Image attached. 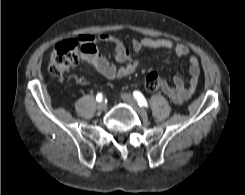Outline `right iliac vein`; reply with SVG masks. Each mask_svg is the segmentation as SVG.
<instances>
[{"label":"right iliac vein","instance_id":"obj_1","mask_svg":"<svg viewBox=\"0 0 245 195\" xmlns=\"http://www.w3.org/2000/svg\"><path fill=\"white\" fill-rule=\"evenodd\" d=\"M99 111H106L107 110V104L105 102H101L97 106Z\"/></svg>","mask_w":245,"mask_h":195}]
</instances>
